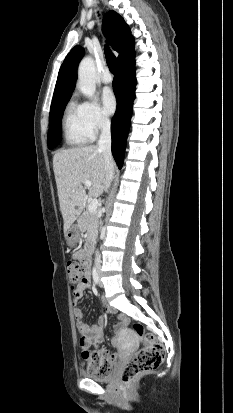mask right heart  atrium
Returning <instances> with one entry per match:
<instances>
[{
    "label": "right heart atrium",
    "mask_w": 233,
    "mask_h": 413,
    "mask_svg": "<svg viewBox=\"0 0 233 413\" xmlns=\"http://www.w3.org/2000/svg\"><path fill=\"white\" fill-rule=\"evenodd\" d=\"M80 107L85 125L93 138L110 126L108 115L97 102L86 101Z\"/></svg>",
    "instance_id": "right-heart-atrium-1"
}]
</instances>
